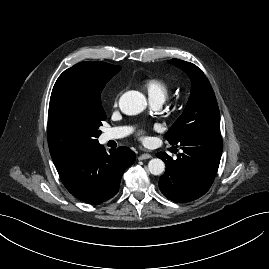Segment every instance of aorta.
<instances>
[{"instance_id": "1", "label": "aorta", "mask_w": 269, "mask_h": 269, "mask_svg": "<svg viewBox=\"0 0 269 269\" xmlns=\"http://www.w3.org/2000/svg\"><path fill=\"white\" fill-rule=\"evenodd\" d=\"M146 105L145 96L134 90L124 93L119 100L120 109L126 115H137L146 108ZM148 170L153 175H160L165 171V164L159 158L151 159Z\"/></svg>"}]
</instances>
